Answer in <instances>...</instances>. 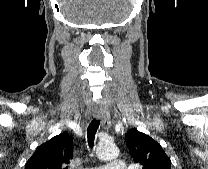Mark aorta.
<instances>
[{"label":"aorta","mask_w":208,"mask_h":169,"mask_svg":"<svg viewBox=\"0 0 208 169\" xmlns=\"http://www.w3.org/2000/svg\"><path fill=\"white\" fill-rule=\"evenodd\" d=\"M96 155L101 160H112L119 156V149L113 143H100L96 149Z\"/></svg>","instance_id":"1"}]
</instances>
